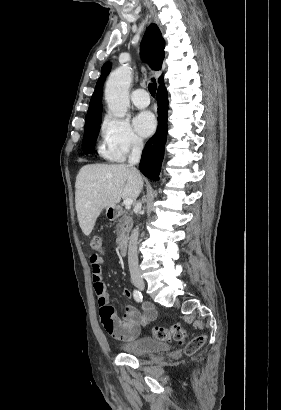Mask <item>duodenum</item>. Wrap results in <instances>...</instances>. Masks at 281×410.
Here are the masks:
<instances>
[{
  "instance_id": "1",
  "label": "duodenum",
  "mask_w": 281,
  "mask_h": 410,
  "mask_svg": "<svg viewBox=\"0 0 281 410\" xmlns=\"http://www.w3.org/2000/svg\"><path fill=\"white\" fill-rule=\"evenodd\" d=\"M119 215H120V212L117 209H113L111 211L110 218L112 220H114ZM118 247H119L120 254L125 256L127 254V251H128V238L125 237V236L121 237L120 240H119V243H118Z\"/></svg>"
}]
</instances>
